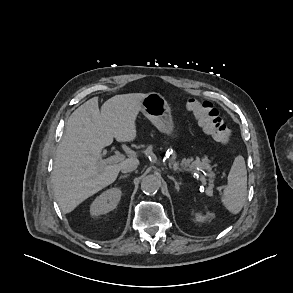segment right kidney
Listing matches in <instances>:
<instances>
[{
  "label": "right kidney",
  "instance_id": "1",
  "mask_svg": "<svg viewBox=\"0 0 293 293\" xmlns=\"http://www.w3.org/2000/svg\"><path fill=\"white\" fill-rule=\"evenodd\" d=\"M121 190L119 188H111L104 191L92 203L90 213L93 216L107 214L115 209L121 198Z\"/></svg>",
  "mask_w": 293,
  "mask_h": 293
}]
</instances>
